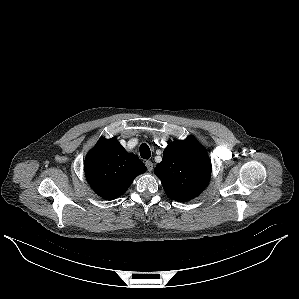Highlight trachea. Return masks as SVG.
Wrapping results in <instances>:
<instances>
[{"mask_svg":"<svg viewBox=\"0 0 299 299\" xmlns=\"http://www.w3.org/2000/svg\"><path fill=\"white\" fill-rule=\"evenodd\" d=\"M140 156L143 159H149L150 156H151L150 148H149V146L146 143H142L140 145Z\"/></svg>","mask_w":299,"mask_h":299,"instance_id":"obj_1","label":"trachea"}]
</instances>
